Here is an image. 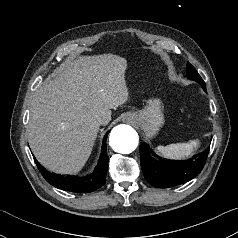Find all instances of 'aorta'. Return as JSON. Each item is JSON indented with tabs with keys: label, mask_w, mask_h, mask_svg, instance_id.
Listing matches in <instances>:
<instances>
[{
	"label": "aorta",
	"mask_w": 238,
	"mask_h": 238,
	"mask_svg": "<svg viewBox=\"0 0 238 238\" xmlns=\"http://www.w3.org/2000/svg\"><path fill=\"white\" fill-rule=\"evenodd\" d=\"M138 134L129 125H118L110 133L109 144L115 152L128 154L138 145Z\"/></svg>",
	"instance_id": "762f6f07"
}]
</instances>
